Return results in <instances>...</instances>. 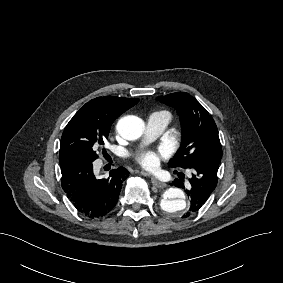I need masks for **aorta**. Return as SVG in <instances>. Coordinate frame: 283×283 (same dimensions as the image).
<instances>
[{
  "instance_id": "1",
  "label": "aorta",
  "mask_w": 283,
  "mask_h": 283,
  "mask_svg": "<svg viewBox=\"0 0 283 283\" xmlns=\"http://www.w3.org/2000/svg\"><path fill=\"white\" fill-rule=\"evenodd\" d=\"M116 129L121 137L133 141L141 137L145 125L143 120L136 116H125L118 121ZM185 198V193L180 188L171 187L164 192L160 206L165 212L178 217L187 208Z\"/></svg>"
}]
</instances>
